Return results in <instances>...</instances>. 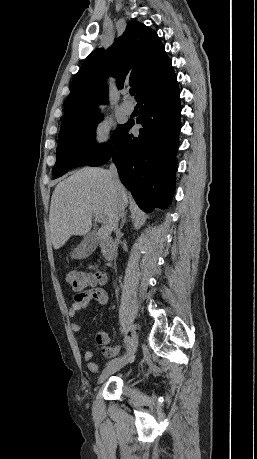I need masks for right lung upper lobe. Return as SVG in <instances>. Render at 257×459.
I'll return each mask as SVG.
<instances>
[{
	"mask_svg": "<svg viewBox=\"0 0 257 459\" xmlns=\"http://www.w3.org/2000/svg\"><path fill=\"white\" fill-rule=\"evenodd\" d=\"M173 73L156 32L140 22H129L123 35L107 50L93 51L74 77L59 134L100 115L96 105L107 100L108 75L115 76L119 89L125 85L135 87L138 100Z\"/></svg>",
	"mask_w": 257,
	"mask_h": 459,
	"instance_id": "obj_1",
	"label": "right lung upper lobe"
}]
</instances>
